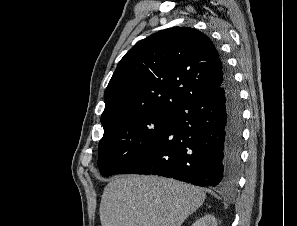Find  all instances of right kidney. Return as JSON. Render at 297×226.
<instances>
[{"mask_svg": "<svg viewBox=\"0 0 297 226\" xmlns=\"http://www.w3.org/2000/svg\"><path fill=\"white\" fill-rule=\"evenodd\" d=\"M192 226H217V221L213 215H205L196 220Z\"/></svg>", "mask_w": 297, "mask_h": 226, "instance_id": "right-kidney-1", "label": "right kidney"}]
</instances>
